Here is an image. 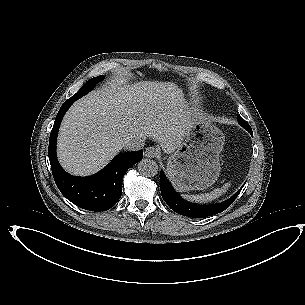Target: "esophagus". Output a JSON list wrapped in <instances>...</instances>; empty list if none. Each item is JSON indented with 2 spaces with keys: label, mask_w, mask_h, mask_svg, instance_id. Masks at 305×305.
<instances>
[{
  "label": "esophagus",
  "mask_w": 305,
  "mask_h": 305,
  "mask_svg": "<svg viewBox=\"0 0 305 305\" xmlns=\"http://www.w3.org/2000/svg\"><path fill=\"white\" fill-rule=\"evenodd\" d=\"M145 157L155 158L158 155V150L155 147H148L144 152Z\"/></svg>",
  "instance_id": "obj_1"
}]
</instances>
